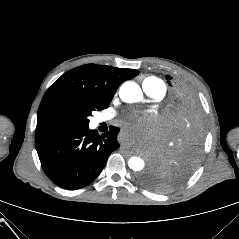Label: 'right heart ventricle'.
<instances>
[{
    "label": "right heart ventricle",
    "instance_id": "1",
    "mask_svg": "<svg viewBox=\"0 0 239 239\" xmlns=\"http://www.w3.org/2000/svg\"><path fill=\"white\" fill-rule=\"evenodd\" d=\"M156 80H158V79L155 78V77L150 76V77H146V78L143 80V83L149 82V81H156Z\"/></svg>",
    "mask_w": 239,
    "mask_h": 239
}]
</instances>
